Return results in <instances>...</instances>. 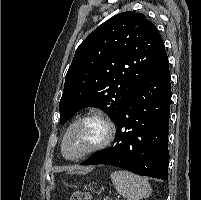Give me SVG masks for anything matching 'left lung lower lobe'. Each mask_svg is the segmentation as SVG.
I'll return each mask as SVG.
<instances>
[{
  "mask_svg": "<svg viewBox=\"0 0 201 200\" xmlns=\"http://www.w3.org/2000/svg\"><path fill=\"white\" fill-rule=\"evenodd\" d=\"M170 71L164 54L121 105L115 144L80 165L108 164L138 175L168 179Z\"/></svg>",
  "mask_w": 201,
  "mask_h": 200,
  "instance_id": "obj_1",
  "label": "left lung lower lobe"
}]
</instances>
